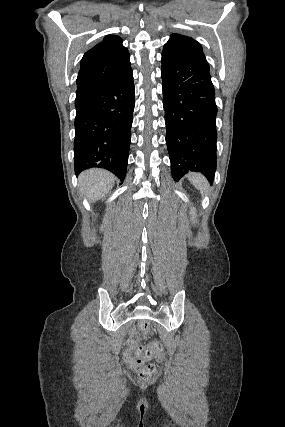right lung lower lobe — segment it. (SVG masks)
Here are the masks:
<instances>
[{
    "instance_id": "obj_1",
    "label": "right lung lower lobe",
    "mask_w": 285,
    "mask_h": 427,
    "mask_svg": "<svg viewBox=\"0 0 285 427\" xmlns=\"http://www.w3.org/2000/svg\"><path fill=\"white\" fill-rule=\"evenodd\" d=\"M132 71L116 81L76 92L74 166L76 174L104 168L123 182L135 105Z\"/></svg>"
}]
</instances>
